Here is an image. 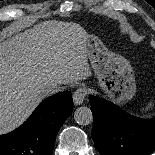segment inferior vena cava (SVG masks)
<instances>
[{
    "mask_svg": "<svg viewBox=\"0 0 155 155\" xmlns=\"http://www.w3.org/2000/svg\"><path fill=\"white\" fill-rule=\"evenodd\" d=\"M61 89H62L61 85L57 83H51L43 89V92L46 96H48L61 91Z\"/></svg>",
    "mask_w": 155,
    "mask_h": 155,
    "instance_id": "obj_1",
    "label": "inferior vena cava"
}]
</instances>
